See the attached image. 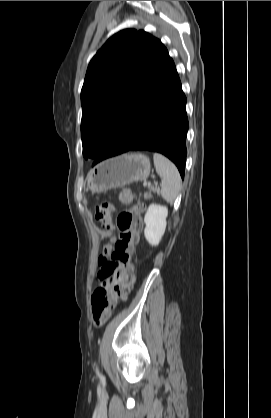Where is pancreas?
<instances>
[{
  "instance_id": "obj_1",
  "label": "pancreas",
  "mask_w": 271,
  "mask_h": 418,
  "mask_svg": "<svg viewBox=\"0 0 271 418\" xmlns=\"http://www.w3.org/2000/svg\"><path fill=\"white\" fill-rule=\"evenodd\" d=\"M148 188L154 193H159V188L157 186L148 185Z\"/></svg>"
}]
</instances>
